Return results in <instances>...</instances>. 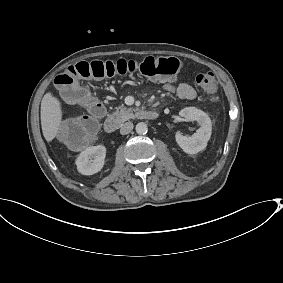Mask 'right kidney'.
I'll return each mask as SVG.
<instances>
[{
    "label": "right kidney",
    "mask_w": 283,
    "mask_h": 283,
    "mask_svg": "<svg viewBox=\"0 0 283 283\" xmlns=\"http://www.w3.org/2000/svg\"><path fill=\"white\" fill-rule=\"evenodd\" d=\"M106 148L102 145L90 146L76 159L77 170L83 175H93L104 166Z\"/></svg>",
    "instance_id": "ca27d5eb"
}]
</instances>
